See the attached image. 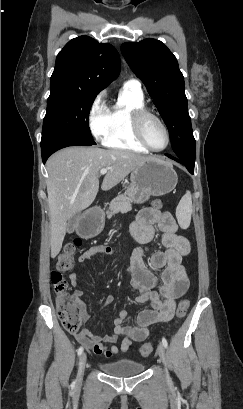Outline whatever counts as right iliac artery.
Wrapping results in <instances>:
<instances>
[{
	"label": "right iliac artery",
	"mask_w": 243,
	"mask_h": 409,
	"mask_svg": "<svg viewBox=\"0 0 243 409\" xmlns=\"http://www.w3.org/2000/svg\"><path fill=\"white\" fill-rule=\"evenodd\" d=\"M82 352H83V347H80V348L78 349V351H77L78 356H80V355L82 354Z\"/></svg>",
	"instance_id": "right-iliac-artery-1"
}]
</instances>
